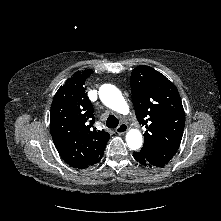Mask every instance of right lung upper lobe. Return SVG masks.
Wrapping results in <instances>:
<instances>
[{
    "instance_id": "obj_1",
    "label": "right lung upper lobe",
    "mask_w": 221,
    "mask_h": 221,
    "mask_svg": "<svg viewBox=\"0 0 221 221\" xmlns=\"http://www.w3.org/2000/svg\"><path fill=\"white\" fill-rule=\"evenodd\" d=\"M93 73L77 71L56 92L50 111V131L55 147L70 166L88 168L103 156L109 133L93 127L94 113L84 84Z\"/></svg>"
}]
</instances>
